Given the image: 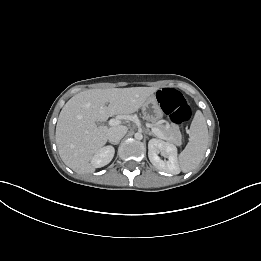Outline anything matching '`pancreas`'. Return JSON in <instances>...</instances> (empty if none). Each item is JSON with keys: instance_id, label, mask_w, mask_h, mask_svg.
I'll return each mask as SVG.
<instances>
[{"instance_id": "1", "label": "pancreas", "mask_w": 261, "mask_h": 261, "mask_svg": "<svg viewBox=\"0 0 261 261\" xmlns=\"http://www.w3.org/2000/svg\"><path fill=\"white\" fill-rule=\"evenodd\" d=\"M151 124L159 129L162 133V139L174 143L177 146L182 144V135L179 130V127L175 125H170L169 123L163 124V121L160 118H155L150 120Z\"/></svg>"}]
</instances>
